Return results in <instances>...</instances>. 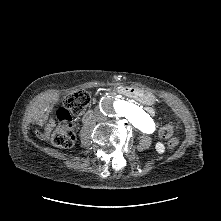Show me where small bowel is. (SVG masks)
I'll list each match as a JSON object with an SVG mask.
<instances>
[{
  "label": "small bowel",
  "instance_id": "small-bowel-1",
  "mask_svg": "<svg viewBox=\"0 0 221 221\" xmlns=\"http://www.w3.org/2000/svg\"><path fill=\"white\" fill-rule=\"evenodd\" d=\"M147 112L150 114L151 113L150 109H148Z\"/></svg>",
  "mask_w": 221,
  "mask_h": 221
}]
</instances>
